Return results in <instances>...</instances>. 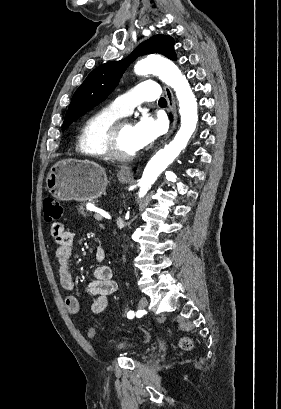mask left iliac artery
<instances>
[{
    "instance_id": "left-iliac-artery-1",
    "label": "left iliac artery",
    "mask_w": 281,
    "mask_h": 409,
    "mask_svg": "<svg viewBox=\"0 0 281 409\" xmlns=\"http://www.w3.org/2000/svg\"><path fill=\"white\" fill-rule=\"evenodd\" d=\"M134 312L133 311H129L128 312V314H127V317L129 318V319H132L133 317H134Z\"/></svg>"
}]
</instances>
